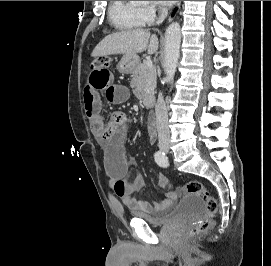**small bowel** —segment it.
Instances as JSON below:
<instances>
[{"instance_id": "obj_1", "label": "small bowel", "mask_w": 271, "mask_h": 266, "mask_svg": "<svg viewBox=\"0 0 271 266\" xmlns=\"http://www.w3.org/2000/svg\"><path fill=\"white\" fill-rule=\"evenodd\" d=\"M99 92H103L111 102L123 101L127 98V89L114 83V73L109 67L90 69L87 85L83 91V102L86 116L89 120L90 130L100 142H109L105 158V171L113 192L120 197L128 208L139 212H157L169 208L177 198L175 192H167L159 202H149L137 199L135 192L146 185L142 175L137 174L133 178H127L128 161L122 145L123 132L128 123L123 112L116 111L112 114L108 124L101 115V98ZM153 136V133H152ZM157 181L166 185L168 179L159 173Z\"/></svg>"}]
</instances>
